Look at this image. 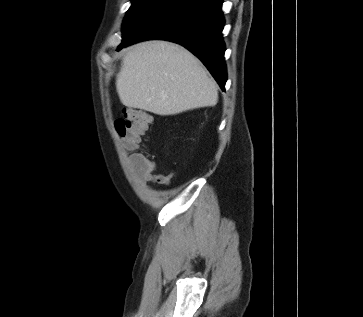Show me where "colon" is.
Returning <instances> with one entry per match:
<instances>
[{
  "instance_id": "obj_1",
  "label": "colon",
  "mask_w": 363,
  "mask_h": 317,
  "mask_svg": "<svg viewBox=\"0 0 363 317\" xmlns=\"http://www.w3.org/2000/svg\"><path fill=\"white\" fill-rule=\"evenodd\" d=\"M152 122L151 116L144 111L127 108L123 111V116L115 121V129L119 138L123 141V146L127 151L133 152L131 162L138 164L143 161L141 153L134 152L142 139V136L149 129Z\"/></svg>"
}]
</instances>
